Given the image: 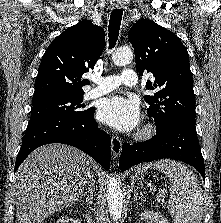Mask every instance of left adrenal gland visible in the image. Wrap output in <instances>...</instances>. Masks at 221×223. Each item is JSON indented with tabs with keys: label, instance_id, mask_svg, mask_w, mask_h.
<instances>
[{
	"label": "left adrenal gland",
	"instance_id": "1",
	"mask_svg": "<svg viewBox=\"0 0 221 223\" xmlns=\"http://www.w3.org/2000/svg\"><path fill=\"white\" fill-rule=\"evenodd\" d=\"M143 196L139 197L137 191H134V197H133V202H136L137 200H139L140 198H142Z\"/></svg>",
	"mask_w": 221,
	"mask_h": 223
}]
</instances>
